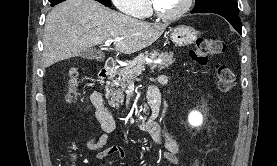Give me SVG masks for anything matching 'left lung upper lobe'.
I'll use <instances>...</instances> for the list:
<instances>
[{"label":"left lung upper lobe","instance_id":"1","mask_svg":"<svg viewBox=\"0 0 277 166\" xmlns=\"http://www.w3.org/2000/svg\"><path fill=\"white\" fill-rule=\"evenodd\" d=\"M224 11L238 14L239 9L236 0H196L192 13H206Z\"/></svg>","mask_w":277,"mask_h":166}]
</instances>
